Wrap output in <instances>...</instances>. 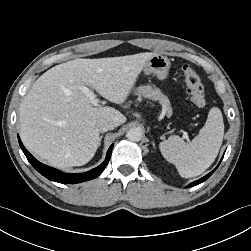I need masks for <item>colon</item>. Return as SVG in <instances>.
<instances>
[{"mask_svg": "<svg viewBox=\"0 0 251 251\" xmlns=\"http://www.w3.org/2000/svg\"><path fill=\"white\" fill-rule=\"evenodd\" d=\"M182 72L191 101L198 107H204L206 105V96L199 75L189 65H184Z\"/></svg>", "mask_w": 251, "mask_h": 251, "instance_id": "colon-1", "label": "colon"}]
</instances>
